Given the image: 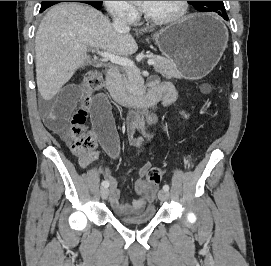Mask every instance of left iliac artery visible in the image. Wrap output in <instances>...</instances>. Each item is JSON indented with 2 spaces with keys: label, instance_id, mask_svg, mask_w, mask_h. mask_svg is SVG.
Wrapping results in <instances>:
<instances>
[{
  "label": "left iliac artery",
  "instance_id": "obj_1",
  "mask_svg": "<svg viewBox=\"0 0 271 266\" xmlns=\"http://www.w3.org/2000/svg\"><path fill=\"white\" fill-rule=\"evenodd\" d=\"M163 190L168 191V190H169V185L165 184V185L163 186Z\"/></svg>",
  "mask_w": 271,
  "mask_h": 266
}]
</instances>
